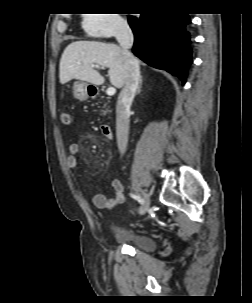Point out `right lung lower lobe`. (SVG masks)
<instances>
[{"mask_svg":"<svg viewBox=\"0 0 252 303\" xmlns=\"http://www.w3.org/2000/svg\"><path fill=\"white\" fill-rule=\"evenodd\" d=\"M128 22L135 36L133 53L185 83L191 61L190 34L186 29L190 17L181 13H148L130 16Z\"/></svg>","mask_w":252,"mask_h":303,"instance_id":"1","label":"right lung lower lobe"}]
</instances>
